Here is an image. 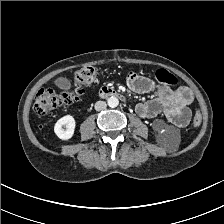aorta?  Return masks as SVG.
<instances>
[{
	"instance_id": "obj_1",
	"label": "aorta",
	"mask_w": 224,
	"mask_h": 224,
	"mask_svg": "<svg viewBox=\"0 0 224 224\" xmlns=\"http://www.w3.org/2000/svg\"><path fill=\"white\" fill-rule=\"evenodd\" d=\"M107 103H108L109 107L114 108V107L118 106L119 100L117 97L112 96V97L108 98Z\"/></svg>"
}]
</instances>
